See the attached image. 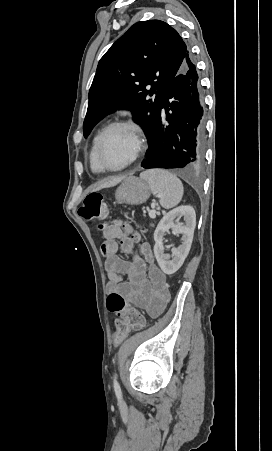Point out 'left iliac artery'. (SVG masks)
<instances>
[{"instance_id": "1", "label": "left iliac artery", "mask_w": 272, "mask_h": 451, "mask_svg": "<svg viewBox=\"0 0 272 451\" xmlns=\"http://www.w3.org/2000/svg\"><path fill=\"white\" fill-rule=\"evenodd\" d=\"M113 385H114L115 394H116L117 398L120 399L122 397V393H121V388L117 381L116 375H114Z\"/></svg>"}]
</instances>
